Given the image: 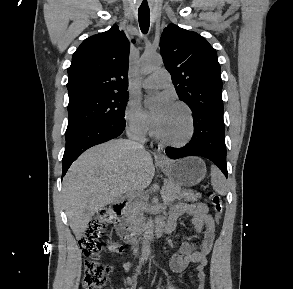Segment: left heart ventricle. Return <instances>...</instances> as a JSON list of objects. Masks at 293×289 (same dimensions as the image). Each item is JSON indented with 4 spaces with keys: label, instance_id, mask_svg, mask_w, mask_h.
<instances>
[{
    "label": "left heart ventricle",
    "instance_id": "b2bd125f",
    "mask_svg": "<svg viewBox=\"0 0 293 289\" xmlns=\"http://www.w3.org/2000/svg\"><path fill=\"white\" fill-rule=\"evenodd\" d=\"M157 133L168 140H181L188 131L187 114L181 107L172 105L166 116L155 125Z\"/></svg>",
    "mask_w": 293,
    "mask_h": 289
}]
</instances>
